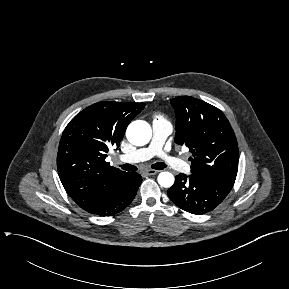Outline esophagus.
I'll return each mask as SVG.
<instances>
[{
  "label": "esophagus",
  "instance_id": "esophagus-1",
  "mask_svg": "<svg viewBox=\"0 0 289 289\" xmlns=\"http://www.w3.org/2000/svg\"><path fill=\"white\" fill-rule=\"evenodd\" d=\"M159 171L158 170H154V169H148L145 171L146 175L152 176V175H156Z\"/></svg>",
  "mask_w": 289,
  "mask_h": 289
}]
</instances>
